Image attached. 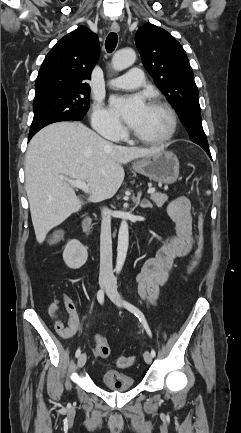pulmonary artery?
Wrapping results in <instances>:
<instances>
[{
  "label": "pulmonary artery",
  "mask_w": 241,
  "mask_h": 433,
  "mask_svg": "<svg viewBox=\"0 0 241 433\" xmlns=\"http://www.w3.org/2000/svg\"><path fill=\"white\" fill-rule=\"evenodd\" d=\"M143 84V72L138 67H133L126 75L108 81L110 87L123 90H135Z\"/></svg>",
  "instance_id": "1"
}]
</instances>
